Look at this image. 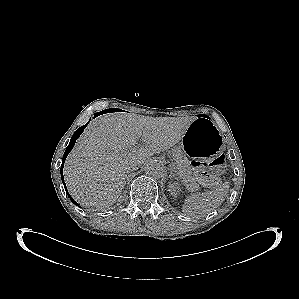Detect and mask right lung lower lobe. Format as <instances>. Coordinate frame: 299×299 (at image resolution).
I'll return each instance as SVG.
<instances>
[{
	"label": "right lung lower lobe",
	"instance_id": "obj_1",
	"mask_svg": "<svg viewBox=\"0 0 299 299\" xmlns=\"http://www.w3.org/2000/svg\"><path fill=\"white\" fill-rule=\"evenodd\" d=\"M88 123L85 124L84 126L80 127L79 129H77V131H75V133L73 134V136H72V138L70 140V143H69V145H68V147H67V149H66V151L64 153L63 160H62V165H61V178H62V182H63L64 186H66L65 183H64V177H63V167H64L65 159L68 156L69 152L73 149L76 140L80 137V135L82 134V132L84 131V128H86V126L88 125ZM66 191H67V189H66ZM70 199H71V201L74 204L78 205L71 197H70Z\"/></svg>",
	"mask_w": 299,
	"mask_h": 299
}]
</instances>
